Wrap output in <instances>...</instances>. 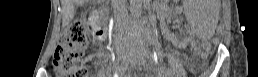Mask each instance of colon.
I'll return each mask as SVG.
<instances>
[{
	"instance_id": "colon-1",
	"label": "colon",
	"mask_w": 258,
	"mask_h": 77,
	"mask_svg": "<svg viewBox=\"0 0 258 77\" xmlns=\"http://www.w3.org/2000/svg\"><path fill=\"white\" fill-rule=\"evenodd\" d=\"M87 39L82 23H72L63 32L53 56V66L59 77H86Z\"/></svg>"
}]
</instances>
